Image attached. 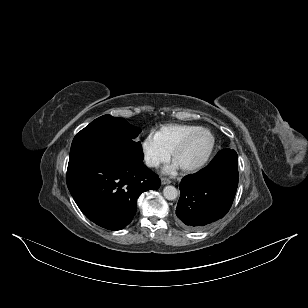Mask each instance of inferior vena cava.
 <instances>
[{"instance_id": "1", "label": "inferior vena cava", "mask_w": 308, "mask_h": 308, "mask_svg": "<svg viewBox=\"0 0 308 308\" xmlns=\"http://www.w3.org/2000/svg\"><path fill=\"white\" fill-rule=\"evenodd\" d=\"M159 164V162L153 158H146V165L149 167H155Z\"/></svg>"}]
</instances>
